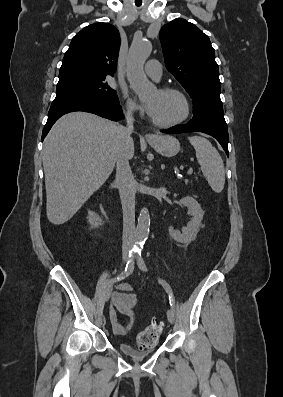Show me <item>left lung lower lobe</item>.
I'll use <instances>...</instances> for the list:
<instances>
[{"label": "left lung lower lobe", "mask_w": 283, "mask_h": 397, "mask_svg": "<svg viewBox=\"0 0 283 397\" xmlns=\"http://www.w3.org/2000/svg\"><path fill=\"white\" fill-rule=\"evenodd\" d=\"M163 133L174 134L184 132H203L213 136L221 144L227 156L228 152V128L224 116L212 113L200 112L193 115V118L185 125H178Z\"/></svg>", "instance_id": "left-lung-lower-lobe-1"}]
</instances>
